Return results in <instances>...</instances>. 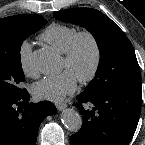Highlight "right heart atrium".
Masks as SVG:
<instances>
[{
	"instance_id": "obj_1",
	"label": "right heart atrium",
	"mask_w": 145,
	"mask_h": 145,
	"mask_svg": "<svg viewBox=\"0 0 145 145\" xmlns=\"http://www.w3.org/2000/svg\"><path fill=\"white\" fill-rule=\"evenodd\" d=\"M31 56V44L28 41L22 42L18 50L20 69L25 76L35 78L38 76V72L33 68Z\"/></svg>"
}]
</instances>
